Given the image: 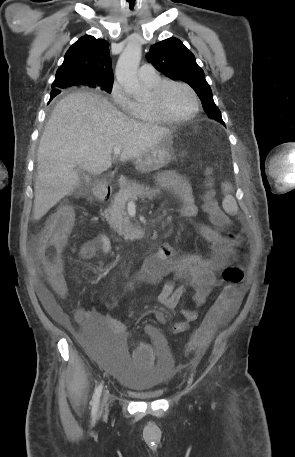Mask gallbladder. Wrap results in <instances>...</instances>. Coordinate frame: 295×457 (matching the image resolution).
I'll return each instance as SVG.
<instances>
[{"label": "gallbladder", "instance_id": "obj_1", "mask_svg": "<svg viewBox=\"0 0 295 457\" xmlns=\"http://www.w3.org/2000/svg\"><path fill=\"white\" fill-rule=\"evenodd\" d=\"M76 169H77V171H79V170H80V167H77Z\"/></svg>", "mask_w": 295, "mask_h": 457}]
</instances>
